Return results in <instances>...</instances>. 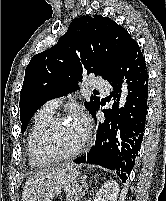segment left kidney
<instances>
[{
	"label": "left kidney",
	"instance_id": "5707ae66",
	"mask_svg": "<svg viewBox=\"0 0 166 201\" xmlns=\"http://www.w3.org/2000/svg\"><path fill=\"white\" fill-rule=\"evenodd\" d=\"M119 185L116 180L105 182L99 189L94 201H117Z\"/></svg>",
	"mask_w": 166,
	"mask_h": 201
}]
</instances>
